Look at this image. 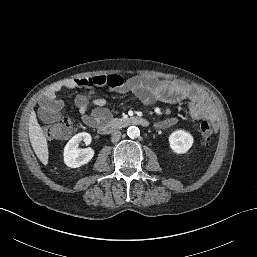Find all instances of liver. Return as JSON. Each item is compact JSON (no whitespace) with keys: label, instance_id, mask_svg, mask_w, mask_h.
<instances>
[{"label":"liver","instance_id":"liver-1","mask_svg":"<svg viewBox=\"0 0 257 257\" xmlns=\"http://www.w3.org/2000/svg\"><path fill=\"white\" fill-rule=\"evenodd\" d=\"M28 128L30 142L35 154L44 165H47L49 159L48 144L34 111L30 114Z\"/></svg>","mask_w":257,"mask_h":257}]
</instances>
